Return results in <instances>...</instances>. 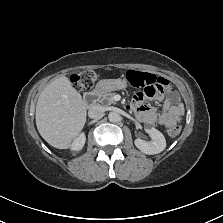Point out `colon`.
<instances>
[{
	"label": "colon",
	"instance_id": "1",
	"mask_svg": "<svg viewBox=\"0 0 223 223\" xmlns=\"http://www.w3.org/2000/svg\"><path fill=\"white\" fill-rule=\"evenodd\" d=\"M98 78V73L93 70H85L74 73L70 76V81L73 87L79 91L87 90L92 87ZM128 80L136 87H145L150 89L153 93L163 92L166 83L165 81L151 73L139 72L130 70L127 73ZM181 127L174 125L168 129V134L172 137L179 135Z\"/></svg>",
	"mask_w": 223,
	"mask_h": 223
}]
</instances>
